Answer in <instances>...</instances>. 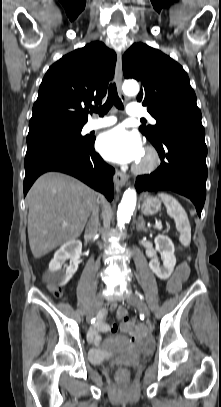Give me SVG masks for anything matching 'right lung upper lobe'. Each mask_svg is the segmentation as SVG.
<instances>
[{
  "mask_svg": "<svg viewBox=\"0 0 221 407\" xmlns=\"http://www.w3.org/2000/svg\"><path fill=\"white\" fill-rule=\"evenodd\" d=\"M116 54L102 42H92L54 63L45 74L33 105L29 128L85 124L91 103H101L113 78Z\"/></svg>",
  "mask_w": 221,
  "mask_h": 407,
  "instance_id": "right-lung-upper-lobe-1",
  "label": "right lung upper lobe"
}]
</instances>
